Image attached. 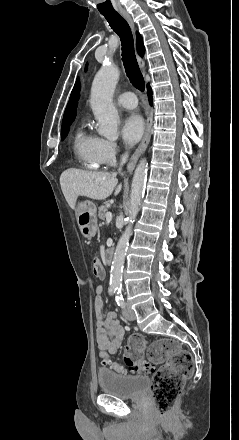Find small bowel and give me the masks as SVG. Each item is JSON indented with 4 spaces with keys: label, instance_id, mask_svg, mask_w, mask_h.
<instances>
[{
    "label": "small bowel",
    "instance_id": "obj_1",
    "mask_svg": "<svg viewBox=\"0 0 239 440\" xmlns=\"http://www.w3.org/2000/svg\"><path fill=\"white\" fill-rule=\"evenodd\" d=\"M95 292L94 308L97 320L96 340L101 351L100 360L102 364L114 369V362L110 358V355L115 354L120 348L124 337V329L115 311H111L107 315L103 314V287L97 286Z\"/></svg>",
    "mask_w": 239,
    "mask_h": 440
}]
</instances>
